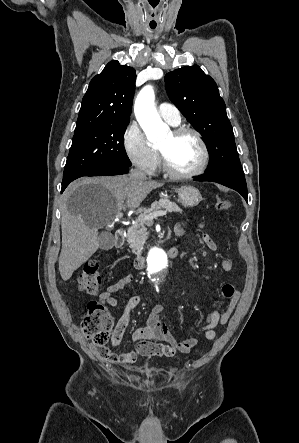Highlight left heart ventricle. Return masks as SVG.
Here are the masks:
<instances>
[{
	"instance_id": "1",
	"label": "left heart ventricle",
	"mask_w": 299,
	"mask_h": 443,
	"mask_svg": "<svg viewBox=\"0 0 299 443\" xmlns=\"http://www.w3.org/2000/svg\"><path fill=\"white\" fill-rule=\"evenodd\" d=\"M158 148L165 153L170 166L179 172L195 169L201 159L200 146L192 134L174 137L170 132Z\"/></svg>"
}]
</instances>
